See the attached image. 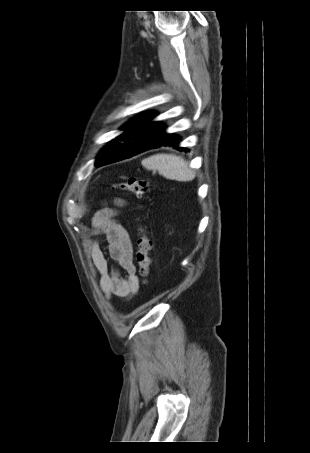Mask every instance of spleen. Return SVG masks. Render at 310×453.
<instances>
[{
  "label": "spleen",
  "instance_id": "obj_1",
  "mask_svg": "<svg viewBox=\"0 0 310 453\" xmlns=\"http://www.w3.org/2000/svg\"><path fill=\"white\" fill-rule=\"evenodd\" d=\"M142 166L147 170H157L166 179L176 181H191L195 172L189 167L188 162L175 154H156L142 160Z\"/></svg>",
  "mask_w": 310,
  "mask_h": 453
}]
</instances>
